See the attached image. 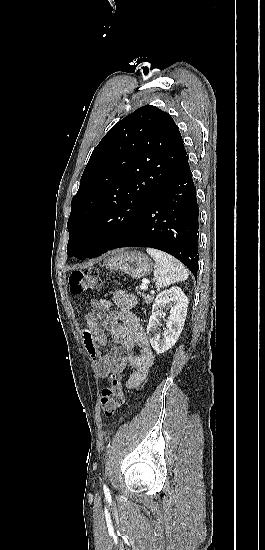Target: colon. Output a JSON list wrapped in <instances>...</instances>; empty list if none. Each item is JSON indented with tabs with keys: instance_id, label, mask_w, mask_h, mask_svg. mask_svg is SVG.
I'll return each mask as SVG.
<instances>
[{
	"instance_id": "colon-1",
	"label": "colon",
	"mask_w": 265,
	"mask_h": 550,
	"mask_svg": "<svg viewBox=\"0 0 265 550\" xmlns=\"http://www.w3.org/2000/svg\"><path fill=\"white\" fill-rule=\"evenodd\" d=\"M101 286L99 272L93 268L75 270L69 277V287L73 294L97 291ZM107 378L109 385L102 390L99 403L105 416L111 417L124 404L126 396L120 374H109Z\"/></svg>"
}]
</instances>
